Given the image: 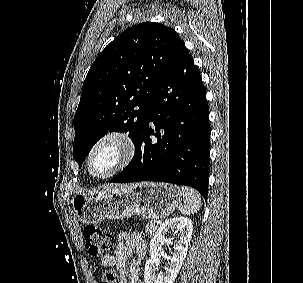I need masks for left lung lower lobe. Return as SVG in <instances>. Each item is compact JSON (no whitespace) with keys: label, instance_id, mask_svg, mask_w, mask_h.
<instances>
[{"label":"left lung lower lobe","instance_id":"0a47b994","mask_svg":"<svg viewBox=\"0 0 303 283\" xmlns=\"http://www.w3.org/2000/svg\"><path fill=\"white\" fill-rule=\"evenodd\" d=\"M209 146L206 90L185 47L150 101L133 159L110 182L187 185L206 200Z\"/></svg>","mask_w":303,"mask_h":283}]
</instances>
